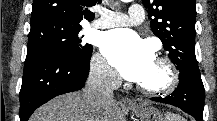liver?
<instances>
[{
  "mask_svg": "<svg viewBox=\"0 0 217 121\" xmlns=\"http://www.w3.org/2000/svg\"><path fill=\"white\" fill-rule=\"evenodd\" d=\"M30 121H124L118 103L93 109L84 98L83 92L58 96L39 107Z\"/></svg>",
  "mask_w": 217,
  "mask_h": 121,
  "instance_id": "obj_1",
  "label": "liver"
}]
</instances>
